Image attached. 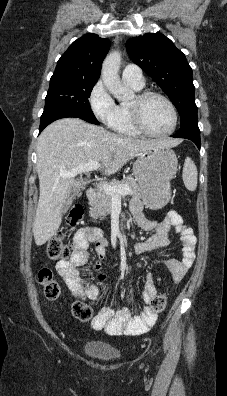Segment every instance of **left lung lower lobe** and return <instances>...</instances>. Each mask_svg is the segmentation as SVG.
<instances>
[{"mask_svg": "<svg viewBox=\"0 0 227 396\" xmlns=\"http://www.w3.org/2000/svg\"><path fill=\"white\" fill-rule=\"evenodd\" d=\"M172 137L189 139L200 149V130L198 128L197 115H192L182 122L179 131Z\"/></svg>", "mask_w": 227, "mask_h": 396, "instance_id": "1", "label": "left lung lower lobe"}]
</instances>
